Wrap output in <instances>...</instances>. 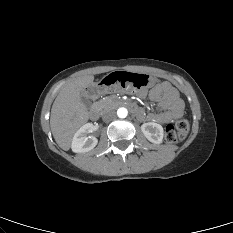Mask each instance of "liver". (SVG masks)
Wrapping results in <instances>:
<instances>
[{"instance_id": "liver-1", "label": "liver", "mask_w": 233, "mask_h": 233, "mask_svg": "<svg viewBox=\"0 0 233 233\" xmlns=\"http://www.w3.org/2000/svg\"><path fill=\"white\" fill-rule=\"evenodd\" d=\"M94 76L74 78L64 85L56 97L50 117L53 137L60 148L67 151L76 131L89 118L88 108L81 100L86 88L93 85Z\"/></svg>"}]
</instances>
